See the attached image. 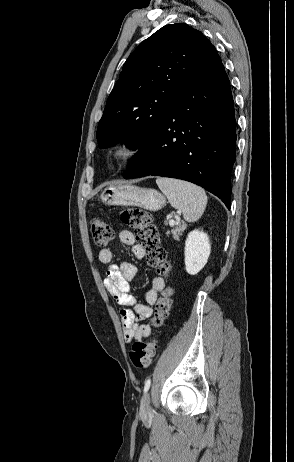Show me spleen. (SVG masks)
<instances>
[{"instance_id":"3e777b00","label":"spleen","mask_w":294,"mask_h":462,"mask_svg":"<svg viewBox=\"0 0 294 462\" xmlns=\"http://www.w3.org/2000/svg\"><path fill=\"white\" fill-rule=\"evenodd\" d=\"M159 189L167 196L170 204L183 212L188 222L198 220L206 207L205 191L192 183L170 178H157Z\"/></svg>"}]
</instances>
